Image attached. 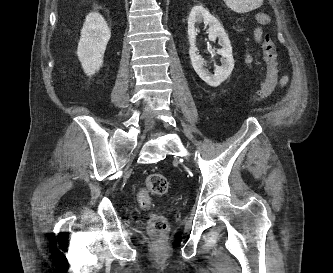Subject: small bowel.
<instances>
[{"mask_svg": "<svg viewBox=\"0 0 333 273\" xmlns=\"http://www.w3.org/2000/svg\"><path fill=\"white\" fill-rule=\"evenodd\" d=\"M254 38L256 41H260L262 39V30L260 27L256 28L254 30ZM252 61H253V58L252 56L248 53L246 55V63L251 65L252 64ZM288 81V77L287 76H283L281 81H280V85L281 86H284Z\"/></svg>", "mask_w": 333, "mask_h": 273, "instance_id": "c3829d8e", "label": "small bowel"}]
</instances>
